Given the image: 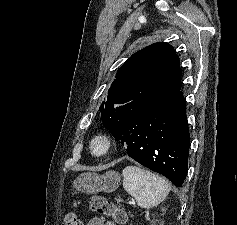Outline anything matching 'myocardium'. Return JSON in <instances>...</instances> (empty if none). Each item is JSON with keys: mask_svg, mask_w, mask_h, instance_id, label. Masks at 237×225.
<instances>
[{"mask_svg": "<svg viewBox=\"0 0 237 225\" xmlns=\"http://www.w3.org/2000/svg\"><path fill=\"white\" fill-rule=\"evenodd\" d=\"M113 142L106 134H97L92 137L89 142V149L92 156L102 158L106 156L112 149Z\"/></svg>", "mask_w": 237, "mask_h": 225, "instance_id": "f54148a6", "label": "myocardium"}]
</instances>
